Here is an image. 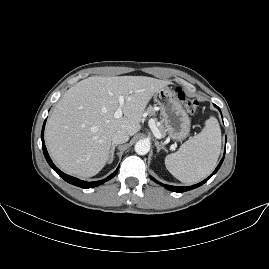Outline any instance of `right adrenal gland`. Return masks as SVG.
Segmentation results:
<instances>
[{"instance_id":"1","label":"right adrenal gland","mask_w":269,"mask_h":269,"mask_svg":"<svg viewBox=\"0 0 269 269\" xmlns=\"http://www.w3.org/2000/svg\"><path fill=\"white\" fill-rule=\"evenodd\" d=\"M118 145L117 144H112L111 148H110V151H109V161L108 163H112L113 162V157H114V151H115V148L117 147Z\"/></svg>"}]
</instances>
